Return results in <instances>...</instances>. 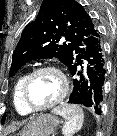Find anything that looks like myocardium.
<instances>
[{
  "instance_id": "f54148a6",
  "label": "myocardium",
  "mask_w": 117,
  "mask_h": 136,
  "mask_svg": "<svg viewBox=\"0 0 117 136\" xmlns=\"http://www.w3.org/2000/svg\"><path fill=\"white\" fill-rule=\"evenodd\" d=\"M43 72H52V73L56 74L62 82V91H61L60 95L51 103H49L45 106H42V107H36L30 101L29 90H30V85H31L33 79L38 74L43 73ZM68 92H69V81H68L66 75L60 69H58L56 67L43 66V67H39V68L35 69L27 76V78L24 82V85H23L22 100H23L24 105L31 112H43V111H47V110L55 107L59 103H61L65 99V97L67 96Z\"/></svg>"
}]
</instances>
